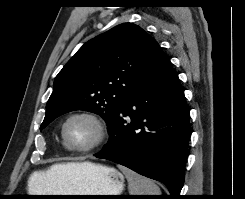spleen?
<instances>
[{"mask_svg":"<svg viewBox=\"0 0 245 199\" xmlns=\"http://www.w3.org/2000/svg\"><path fill=\"white\" fill-rule=\"evenodd\" d=\"M128 181V189L130 195H161L160 188L154 181L145 178L136 172L118 165Z\"/></svg>","mask_w":245,"mask_h":199,"instance_id":"3e777b00","label":"spleen"}]
</instances>
